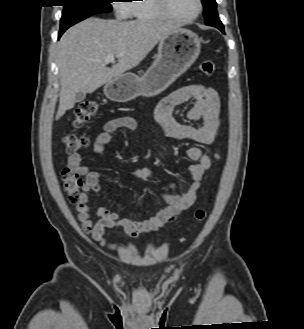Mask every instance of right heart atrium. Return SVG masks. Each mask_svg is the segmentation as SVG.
<instances>
[{
    "label": "right heart atrium",
    "instance_id": "right-heart-atrium-1",
    "mask_svg": "<svg viewBox=\"0 0 304 329\" xmlns=\"http://www.w3.org/2000/svg\"><path fill=\"white\" fill-rule=\"evenodd\" d=\"M113 8L118 18H126L130 15L129 3L126 0H115Z\"/></svg>",
    "mask_w": 304,
    "mask_h": 329
}]
</instances>
